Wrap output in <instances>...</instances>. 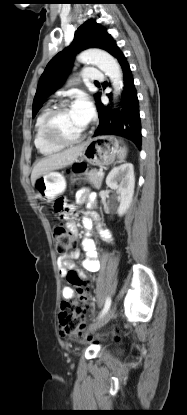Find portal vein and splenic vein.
<instances>
[{
    "instance_id": "1",
    "label": "portal vein and splenic vein",
    "mask_w": 187,
    "mask_h": 415,
    "mask_svg": "<svg viewBox=\"0 0 187 415\" xmlns=\"http://www.w3.org/2000/svg\"><path fill=\"white\" fill-rule=\"evenodd\" d=\"M98 174H99V175H103L104 173H103V171H102V170H100V171L98 172Z\"/></svg>"
}]
</instances>
